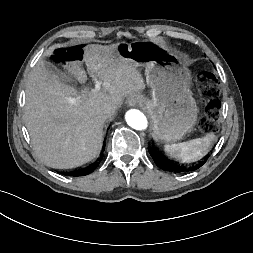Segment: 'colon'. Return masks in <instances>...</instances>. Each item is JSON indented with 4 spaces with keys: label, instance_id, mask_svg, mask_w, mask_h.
Instances as JSON below:
<instances>
[{
    "label": "colon",
    "instance_id": "5ec220e1",
    "mask_svg": "<svg viewBox=\"0 0 253 253\" xmlns=\"http://www.w3.org/2000/svg\"><path fill=\"white\" fill-rule=\"evenodd\" d=\"M82 57L83 49L81 46L58 49L54 53V59L60 63L80 61ZM197 86L200 95L205 100V110L199 121V128L204 133L214 132L220 111L217 101L219 95L218 83L211 73L202 72L197 78Z\"/></svg>",
    "mask_w": 253,
    "mask_h": 253
}]
</instances>
